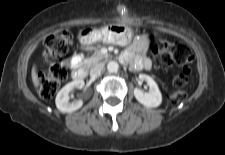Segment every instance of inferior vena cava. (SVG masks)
<instances>
[{"instance_id":"1","label":"inferior vena cava","mask_w":225,"mask_h":155,"mask_svg":"<svg viewBox=\"0 0 225 155\" xmlns=\"http://www.w3.org/2000/svg\"><path fill=\"white\" fill-rule=\"evenodd\" d=\"M104 69V64L103 63H98L96 64L95 66H93L90 70V76L92 78H97L101 72L103 71Z\"/></svg>"}]
</instances>
